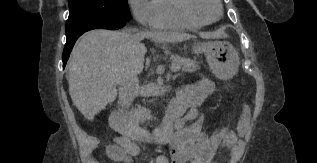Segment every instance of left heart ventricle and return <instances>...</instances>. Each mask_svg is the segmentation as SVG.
I'll use <instances>...</instances> for the list:
<instances>
[{
	"label": "left heart ventricle",
	"mask_w": 317,
	"mask_h": 163,
	"mask_svg": "<svg viewBox=\"0 0 317 163\" xmlns=\"http://www.w3.org/2000/svg\"><path fill=\"white\" fill-rule=\"evenodd\" d=\"M192 11L208 20L215 19L218 16V8L214 0H191Z\"/></svg>",
	"instance_id": "1"
}]
</instances>
